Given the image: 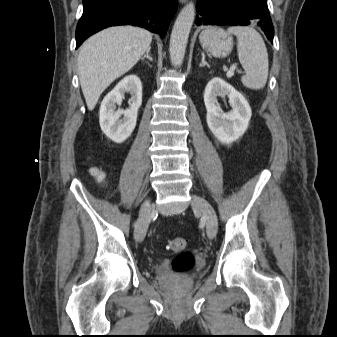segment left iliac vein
<instances>
[{"label":"left iliac vein","mask_w":337,"mask_h":337,"mask_svg":"<svg viewBox=\"0 0 337 337\" xmlns=\"http://www.w3.org/2000/svg\"><path fill=\"white\" fill-rule=\"evenodd\" d=\"M191 205L193 210L203 214L206 222L207 235L210 239L214 238L217 234L218 220L213 207L208 201L197 195H192Z\"/></svg>","instance_id":"4c4485c4"}]
</instances>
